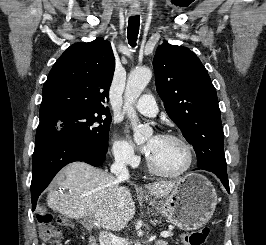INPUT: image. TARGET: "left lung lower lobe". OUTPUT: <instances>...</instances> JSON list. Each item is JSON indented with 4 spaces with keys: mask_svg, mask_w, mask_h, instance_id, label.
Instances as JSON below:
<instances>
[{
    "mask_svg": "<svg viewBox=\"0 0 266 245\" xmlns=\"http://www.w3.org/2000/svg\"><path fill=\"white\" fill-rule=\"evenodd\" d=\"M198 169L199 168H197L195 170H198ZM216 175L221 180V182L223 183L226 190L230 193L227 174H216Z\"/></svg>",
    "mask_w": 266,
    "mask_h": 245,
    "instance_id": "1",
    "label": "left lung lower lobe"
}]
</instances>
